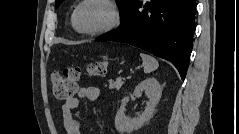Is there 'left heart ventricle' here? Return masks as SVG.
I'll list each match as a JSON object with an SVG mask.
<instances>
[{
    "label": "left heart ventricle",
    "mask_w": 239,
    "mask_h": 134,
    "mask_svg": "<svg viewBox=\"0 0 239 134\" xmlns=\"http://www.w3.org/2000/svg\"><path fill=\"white\" fill-rule=\"evenodd\" d=\"M110 20V12L100 3H88L78 12L76 23L84 31H94L104 27Z\"/></svg>",
    "instance_id": "obj_1"
}]
</instances>
